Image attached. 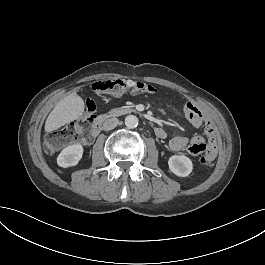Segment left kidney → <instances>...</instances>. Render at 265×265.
Returning <instances> with one entry per match:
<instances>
[{"label": "left kidney", "mask_w": 265, "mask_h": 265, "mask_svg": "<svg viewBox=\"0 0 265 265\" xmlns=\"http://www.w3.org/2000/svg\"><path fill=\"white\" fill-rule=\"evenodd\" d=\"M171 172L179 177L188 176L193 169L192 161L184 155H173L168 161Z\"/></svg>", "instance_id": "5707ae66"}]
</instances>
